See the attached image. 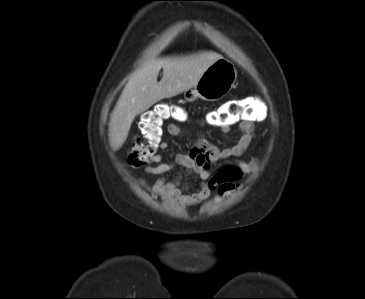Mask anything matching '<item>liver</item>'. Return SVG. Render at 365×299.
<instances>
[{
    "label": "liver",
    "mask_w": 365,
    "mask_h": 299,
    "mask_svg": "<svg viewBox=\"0 0 365 299\" xmlns=\"http://www.w3.org/2000/svg\"><path fill=\"white\" fill-rule=\"evenodd\" d=\"M222 56L202 52L191 56L152 60L134 72L111 114L110 144L118 150L126 141L134 118L164 98L193 88L204 71ZM163 69L160 82L157 77Z\"/></svg>",
    "instance_id": "obj_1"
}]
</instances>
